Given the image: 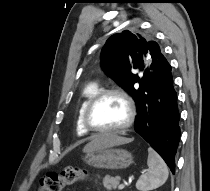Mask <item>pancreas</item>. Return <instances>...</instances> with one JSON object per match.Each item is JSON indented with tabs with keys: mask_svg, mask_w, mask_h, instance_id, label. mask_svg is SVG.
<instances>
[{
	"mask_svg": "<svg viewBox=\"0 0 210 191\" xmlns=\"http://www.w3.org/2000/svg\"><path fill=\"white\" fill-rule=\"evenodd\" d=\"M120 177H110L109 175H106L103 179V185L107 190L116 189L119 185Z\"/></svg>",
	"mask_w": 210,
	"mask_h": 191,
	"instance_id": "cf45deb5",
	"label": "pancreas"
}]
</instances>
